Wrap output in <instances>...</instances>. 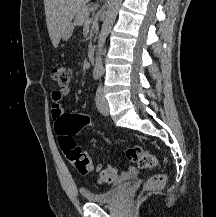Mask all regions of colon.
Instances as JSON below:
<instances>
[{"label": "colon", "mask_w": 216, "mask_h": 217, "mask_svg": "<svg viewBox=\"0 0 216 217\" xmlns=\"http://www.w3.org/2000/svg\"><path fill=\"white\" fill-rule=\"evenodd\" d=\"M52 78L60 85L67 86L70 82L71 72L66 65H56L51 69ZM95 121L85 113L66 115L57 125L58 141L67 161L81 174H89L93 171V165L88 154L74 140V135L84 127L94 125ZM126 157L129 161L136 163L140 169L154 168L158 165L156 156L144 149L139 144H132L126 149ZM118 177V171L113 166L100 170V182L112 183ZM166 181L164 174L151 176L145 186V192H153L161 189Z\"/></svg>", "instance_id": "colon-1"}]
</instances>
